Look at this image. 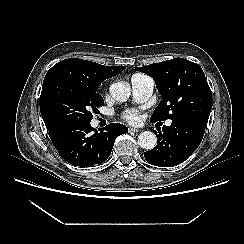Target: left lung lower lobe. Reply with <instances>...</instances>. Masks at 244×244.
Returning <instances> with one entry per match:
<instances>
[{"label": "left lung lower lobe", "instance_id": "left-lung-lower-lobe-1", "mask_svg": "<svg viewBox=\"0 0 244 244\" xmlns=\"http://www.w3.org/2000/svg\"><path fill=\"white\" fill-rule=\"evenodd\" d=\"M206 125L189 118L172 120L164 125L162 132L156 131L158 143L155 148L144 153L146 161L159 167H173L185 161L199 146Z\"/></svg>", "mask_w": 244, "mask_h": 244}]
</instances>
